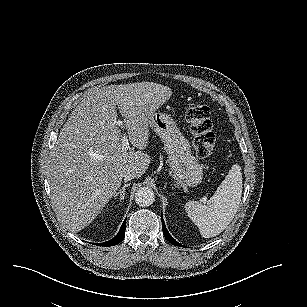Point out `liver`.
Returning <instances> with one entry per match:
<instances>
[{
    "mask_svg": "<svg viewBox=\"0 0 307 307\" xmlns=\"http://www.w3.org/2000/svg\"><path fill=\"white\" fill-rule=\"evenodd\" d=\"M172 95L153 82L108 85L90 89L71 111L51 151L48 183L58 219L71 232L88 226L132 172L148 169L146 149L151 116ZM117 109L124 121H117ZM138 151L123 152L122 130Z\"/></svg>",
    "mask_w": 307,
    "mask_h": 307,
    "instance_id": "1",
    "label": "liver"
}]
</instances>
